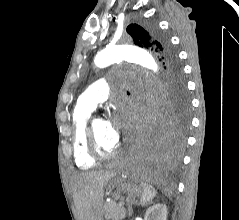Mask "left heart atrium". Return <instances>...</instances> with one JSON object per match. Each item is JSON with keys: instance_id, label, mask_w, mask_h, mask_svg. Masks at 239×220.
<instances>
[{"instance_id": "left-heart-atrium-1", "label": "left heart atrium", "mask_w": 239, "mask_h": 220, "mask_svg": "<svg viewBox=\"0 0 239 220\" xmlns=\"http://www.w3.org/2000/svg\"><path fill=\"white\" fill-rule=\"evenodd\" d=\"M131 109L132 106L126 103L107 121L109 134L117 141L120 130H128L132 126L133 119L128 116Z\"/></svg>"}]
</instances>
